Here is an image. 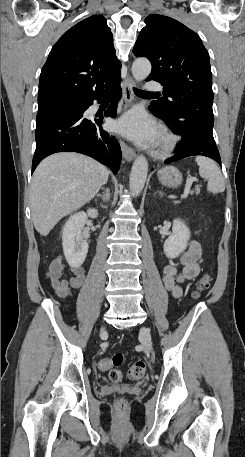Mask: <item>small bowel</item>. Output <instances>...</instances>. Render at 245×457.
<instances>
[{"label":"small bowel","instance_id":"1","mask_svg":"<svg viewBox=\"0 0 245 457\" xmlns=\"http://www.w3.org/2000/svg\"><path fill=\"white\" fill-rule=\"evenodd\" d=\"M201 253L199 242L192 240L180 259V269L174 265H167L163 268V285L174 297H180L182 295L181 283L193 279L199 274L198 260L201 257ZM67 272L69 276H67ZM46 277L56 294L61 298H65L72 290L82 286L84 269L77 265L66 266L62 256H58L49 263L46 269Z\"/></svg>","mask_w":245,"mask_h":457}]
</instances>
